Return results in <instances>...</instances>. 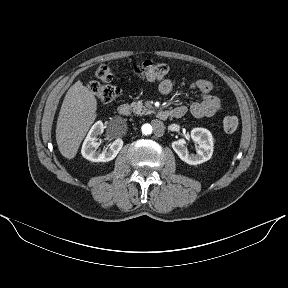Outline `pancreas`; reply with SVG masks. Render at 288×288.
Instances as JSON below:
<instances>
[{
	"mask_svg": "<svg viewBox=\"0 0 288 288\" xmlns=\"http://www.w3.org/2000/svg\"><path fill=\"white\" fill-rule=\"evenodd\" d=\"M131 107L133 108V112L137 115H147L153 113V110L145 107L141 101L132 102Z\"/></svg>",
	"mask_w": 288,
	"mask_h": 288,
	"instance_id": "obj_1",
	"label": "pancreas"
}]
</instances>
